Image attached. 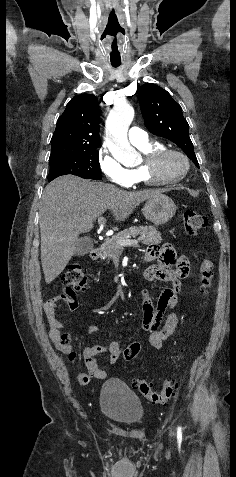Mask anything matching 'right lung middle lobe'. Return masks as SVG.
<instances>
[{"label": "right lung middle lobe", "mask_w": 236, "mask_h": 477, "mask_svg": "<svg viewBox=\"0 0 236 477\" xmlns=\"http://www.w3.org/2000/svg\"><path fill=\"white\" fill-rule=\"evenodd\" d=\"M98 147L82 150L73 155L49 161L48 180L62 176L75 175L84 179L101 180Z\"/></svg>", "instance_id": "obj_1"}]
</instances>
